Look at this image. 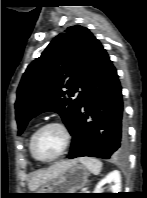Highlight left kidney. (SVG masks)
I'll return each mask as SVG.
<instances>
[{"instance_id": "left-kidney-1", "label": "left kidney", "mask_w": 147, "mask_h": 198, "mask_svg": "<svg viewBox=\"0 0 147 198\" xmlns=\"http://www.w3.org/2000/svg\"><path fill=\"white\" fill-rule=\"evenodd\" d=\"M114 183L111 187L112 193L121 192V175L120 172L115 170L109 173L105 178H103L97 185L93 193H102L103 186L107 183Z\"/></svg>"}]
</instances>
